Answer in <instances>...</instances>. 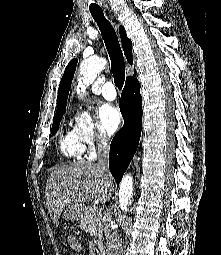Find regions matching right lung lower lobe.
<instances>
[{
	"mask_svg": "<svg viewBox=\"0 0 221 255\" xmlns=\"http://www.w3.org/2000/svg\"><path fill=\"white\" fill-rule=\"evenodd\" d=\"M135 75L126 79L120 100L124 126L110 145L109 168L117 183H120L132 160L141 135L142 97Z\"/></svg>",
	"mask_w": 221,
	"mask_h": 255,
	"instance_id": "right-lung-lower-lobe-1",
	"label": "right lung lower lobe"
}]
</instances>
